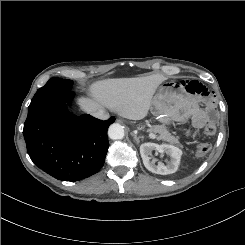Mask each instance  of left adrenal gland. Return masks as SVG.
<instances>
[{
    "instance_id": "obj_1",
    "label": "left adrenal gland",
    "mask_w": 245,
    "mask_h": 245,
    "mask_svg": "<svg viewBox=\"0 0 245 245\" xmlns=\"http://www.w3.org/2000/svg\"><path fill=\"white\" fill-rule=\"evenodd\" d=\"M133 137H134V140L136 141V143L137 144H139V142H140V139H143V137L142 136H137V135H135V134H133Z\"/></svg>"
}]
</instances>
